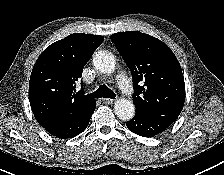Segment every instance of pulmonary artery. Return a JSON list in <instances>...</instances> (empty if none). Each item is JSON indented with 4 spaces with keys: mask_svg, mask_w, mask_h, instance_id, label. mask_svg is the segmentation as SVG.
<instances>
[{
    "mask_svg": "<svg viewBox=\"0 0 224 175\" xmlns=\"http://www.w3.org/2000/svg\"><path fill=\"white\" fill-rule=\"evenodd\" d=\"M117 84H118V87L124 93L131 94L133 92L132 86H131L128 78L125 75H123V74L118 75V77H117Z\"/></svg>",
    "mask_w": 224,
    "mask_h": 175,
    "instance_id": "pulmonary-artery-1",
    "label": "pulmonary artery"
}]
</instances>
